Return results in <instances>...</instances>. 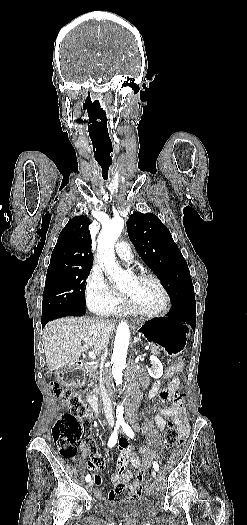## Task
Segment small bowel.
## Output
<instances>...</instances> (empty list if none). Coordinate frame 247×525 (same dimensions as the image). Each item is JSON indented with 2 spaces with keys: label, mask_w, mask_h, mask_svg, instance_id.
Here are the masks:
<instances>
[{
  "label": "small bowel",
  "mask_w": 247,
  "mask_h": 525,
  "mask_svg": "<svg viewBox=\"0 0 247 525\" xmlns=\"http://www.w3.org/2000/svg\"><path fill=\"white\" fill-rule=\"evenodd\" d=\"M179 384V379L177 377H174L170 381L168 387L172 388L176 392V395L174 396V402L171 406L161 405L158 407L157 413L155 415V424L159 431H163L166 427L167 419H170L177 425L180 436L185 437L188 433V428L183 416L184 409L182 402L177 394ZM159 387L160 385L155 382L147 393V398H155L158 394ZM89 417H91V413ZM117 445L119 448V455L117 457L116 472L111 476V481L115 488L107 495H105L100 490L95 491V495L99 499H103L106 506H117L119 503V498L117 495L121 494L123 489L129 486L128 483L131 479V473L127 470L129 464L135 469H138L141 463L149 466L153 460L161 459V453L155 447L149 449L144 448L141 449L140 453H133L129 447L127 439L123 437L118 439ZM81 449L83 452L82 456L79 459L73 460L87 461V459L90 458V460L87 462V469L92 476L93 482L95 479V487H101V490H104V487H102L103 476L101 474H97V469L102 470L106 466L104 457L99 455L94 448L89 452V446L86 441L82 442ZM134 488H137V485H134ZM140 497L141 495L138 497L132 495L128 497V500L137 501Z\"/></svg>",
  "instance_id": "c3829d8e"
}]
</instances>
